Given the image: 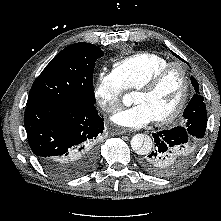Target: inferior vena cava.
<instances>
[{
  "instance_id": "obj_1",
  "label": "inferior vena cava",
  "mask_w": 221,
  "mask_h": 221,
  "mask_svg": "<svg viewBox=\"0 0 221 221\" xmlns=\"http://www.w3.org/2000/svg\"><path fill=\"white\" fill-rule=\"evenodd\" d=\"M106 111H107V112H111V111H112V109H110V108H107V109H106Z\"/></svg>"
}]
</instances>
